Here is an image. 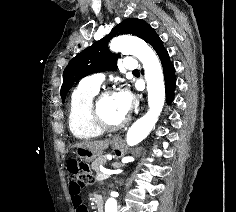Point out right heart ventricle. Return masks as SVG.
<instances>
[{
    "mask_svg": "<svg viewBox=\"0 0 236 212\" xmlns=\"http://www.w3.org/2000/svg\"><path fill=\"white\" fill-rule=\"evenodd\" d=\"M99 88L89 87L81 82L72 92L68 107V122L72 134L82 140L100 137L103 130L92 114V101Z\"/></svg>",
    "mask_w": 236,
    "mask_h": 212,
    "instance_id": "right-heart-ventricle-1",
    "label": "right heart ventricle"
}]
</instances>
